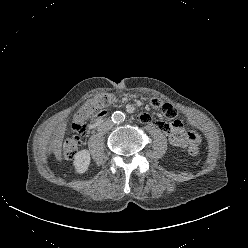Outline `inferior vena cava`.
<instances>
[{
    "label": "inferior vena cava",
    "instance_id": "inferior-vena-cava-1",
    "mask_svg": "<svg viewBox=\"0 0 248 248\" xmlns=\"http://www.w3.org/2000/svg\"><path fill=\"white\" fill-rule=\"evenodd\" d=\"M112 126H113V123L108 120V121L102 123L100 128H101V130L105 131V130H110L112 128Z\"/></svg>",
    "mask_w": 248,
    "mask_h": 248
}]
</instances>
